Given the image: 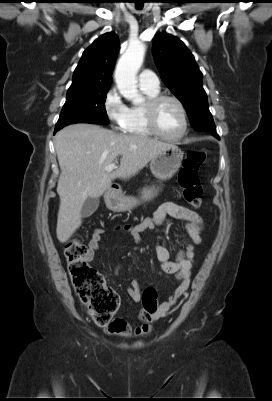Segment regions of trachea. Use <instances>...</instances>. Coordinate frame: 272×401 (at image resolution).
Listing matches in <instances>:
<instances>
[{
	"instance_id": "3493384b",
	"label": "trachea",
	"mask_w": 272,
	"mask_h": 401,
	"mask_svg": "<svg viewBox=\"0 0 272 401\" xmlns=\"http://www.w3.org/2000/svg\"><path fill=\"white\" fill-rule=\"evenodd\" d=\"M135 6H136L137 9H142L143 8V3L135 2Z\"/></svg>"
}]
</instances>
